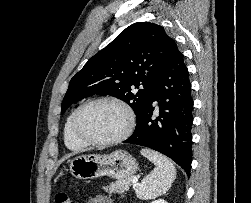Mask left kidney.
Segmentation results:
<instances>
[{
    "label": "left kidney",
    "instance_id": "1",
    "mask_svg": "<svg viewBox=\"0 0 251 203\" xmlns=\"http://www.w3.org/2000/svg\"><path fill=\"white\" fill-rule=\"evenodd\" d=\"M151 203H167L164 199H158V200H155Z\"/></svg>",
    "mask_w": 251,
    "mask_h": 203
}]
</instances>
